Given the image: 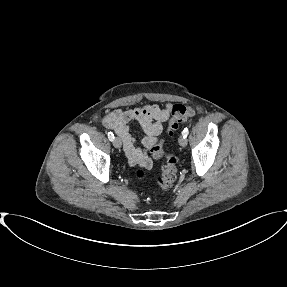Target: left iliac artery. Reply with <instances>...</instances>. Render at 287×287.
Returning a JSON list of instances; mask_svg holds the SVG:
<instances>
[{"instance_id":"left-iliac-artery-1","label":"left iliac artery","mask_w":287,"mask_h":287,"mask_svg":"<svg viewBox=\"0 0 287 287\" xmlns=\"http://www.w3.org/2000/svg\"><path fill=\"white\" fill-rule=\"evenodd\" d=\"M188 129L187 128H185L184 130H183V132H182V135L186 138L187 137V135H188Z\"/></svg>"}]
</instances>
